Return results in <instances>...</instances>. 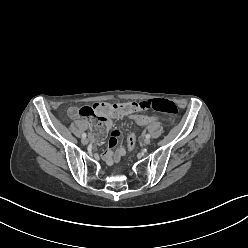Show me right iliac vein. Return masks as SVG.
Wrapping results in <instances>:
<instances>
[{
    "mask_svg": "<svg viewBox=\"0 0 248 248\" xmlns=\"http://www.w3.org/2000/svg\"><path fill=\"white\" fill-rule=\"evenodd\" d=\"M81 142H82V144L86 145L88 143V139L87 138H82Z\"/></svg>",
    "mask_w": 248,
    "mask_h": 248,
    "instance_id": "right-iliac-vein-1",
    "label": "right iliac vein"
}]
</instances>
